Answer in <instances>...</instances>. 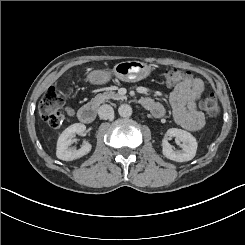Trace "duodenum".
I'll return each mask as SVG.
<instances>
[{
  "label": "duodenum",
  "mask_w": 245,
  "mask_h": 245,
  "mask_svg": "<svg viewBox=\"0 0 245 245\" xmlns=\"http://www.w3.org/2000/svg\"><path fill=\"white\" fill-rule=\"evenodd\" d=\"M78 118L84 123L93 122L96 118V108L90 104L84 105L78 111Z\"/></svg>",
  "instance_id": "410a0bca"
}]
</instances>
